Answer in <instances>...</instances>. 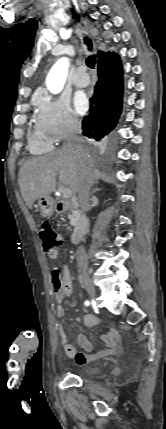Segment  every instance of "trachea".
<instances>
[{
  "label": "trachea",
  "instance_id": "obj_1",
  "mask_svg": "<svg viewBox=\"0 0 166 429\" xmlns=\"http://www.w3.org/2000/svg\"><path fill=\"white\" fill-rule=\"evenodd\" d=\"M84 42L87 45L88 49L91 50L92 49V42H91V40L89 38H84ZM95 62H96V56L95 55H90L86 59V64L91 69H93L95 67Z\"/></svg>",
  "mask_w": 166,
  "mask_h": 429
}]
</instances>
